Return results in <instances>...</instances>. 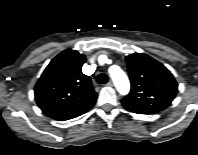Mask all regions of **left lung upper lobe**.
Segmentation results:
<instances>
[{
    "label": "left lung upper lobe",
    "mask_w": 198,
    "mask_h": 155,
    "mask_svg": "<svg viewBox=\"0 0 198 155\" xmlns=\"http://www.w3.org/2000/svg\"><path fill=\"white\" fill-rule=\"evenodd\" d=\"M131 91L122 105L138 114H154L167 108L175 98L178 84L170 71L146 54L126 57Z\"/></svg>",
    "instance_id": "5c2ea615"
}]
</instances>
